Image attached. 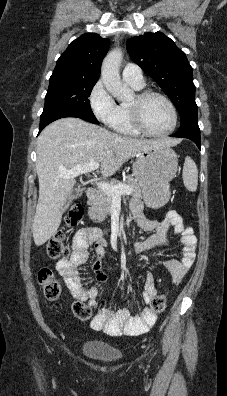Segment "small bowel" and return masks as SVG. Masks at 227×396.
I'll list each match as a JSON object with an SVG mask.
<instances>
[{"label": "small bowel", "mask_w": 227, "mask_h": 396, "mask_svg": "<svg viewBox=\"0 0 227 396\" xmlns=\"http://www.w3.org/2000/svg\"><path fill=\"white\" fill-rule=\"evenodd\" d=\"M130 209L138 226L146 232H152L147 238L135 243L136 252L142 253L165 246L171 227L176 234L181 236L182 257L169 260L165 264L172 282L179 284L195 261L197 238L193 228L186 225L182 217L174 210L168 211L164 220L157 221L145 217L139 200H132ZM91 244H94L96 250V258L90 266L94 275V283L86 281L83 273L79 270V267L87 262V250ZM105 248L106 242L99 238L97 229L82 228L74 235L71 256L56 263L57 271L64 278L67 288L76 299L80 301L94 300L99 296L100 288L107 286V275L101 268V258L105 253ZM156 293L153 276L148 274L142 290V301L146 305L142 311L131 314L128 309L104 308L98 311L91 320V328L110 336L140 335L147 332L157 319V314L153 313L148 306Z\"/></svg>", "instance_id": "obj_1"}]
</instances>
